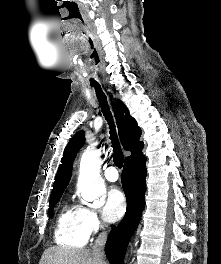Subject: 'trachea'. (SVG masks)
<instances>
[{"mask_svg": "<svg viewBox=\"0 0 221 264\" xmlns=\"http://www.w3.org/2000/svg\"><path fill=\"white\" fill-rule=\"evenodd\" d=\"M92 87L95 88L97 99L99 101L101 110L106 120L108 121V124L110 125V134H111L110 139L112 140V147L114 148L113 162L118 168H121L123 166L124 155L120 148V144H119L116 132H115L114 122L111 116V112L109 110V106L106 101V96L104 95L100 85H92Z\"/></svg>", "mask_w": 221, "mask_h": 264, "instance_id": "1", "label": "trachea"}]
</instances>
